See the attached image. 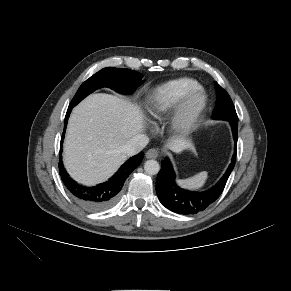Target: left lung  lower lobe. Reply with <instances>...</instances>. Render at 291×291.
<instances>
[{
	"label": "left lung lower lobe",
	"mask_w": 291,
	"mask_h": 291,
	"mask_svg": "<svg viewBox=\"0 0 291 291\" xmlns=\"http://www.w3.org/2000/svg\"><path fill=\"white\" fill-rule=\"evenodd\" d=\"M217 119V118H216ZM230 122L235 141L232 163L223 177L210 189L203 192H192L179 187L175 182V174L168 158L161 162V170L157 176L156 192L163 206L178 214L193 215L205 210L221 195L226 182L234 168L237 150L238 119L221 115L220 118Z\"/></svg>",
	"instance_id": "left-lung-lower-lobe-1"
}]
</instances>
